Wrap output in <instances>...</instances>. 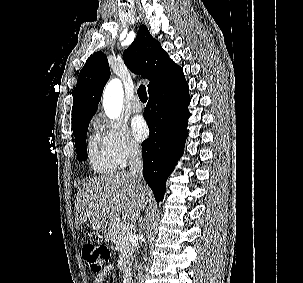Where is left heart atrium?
<instances>
[{
	"mask_svg": "<svg viewBox=\"0 0 303 283\" xmlns=\"http://www.w3.org/2000/svg\"><path fill=\"white\" fill-rule=\"evenodd\" d=\"M131 129L134 137L141 141L148 135V126L142 116H136L132 119Z\"/></svg>",
	"mask_w": 303,
	"mask_h": 283,
	"instance_id": "1",
	"label": "left heart atrium"
}]
</instances>
